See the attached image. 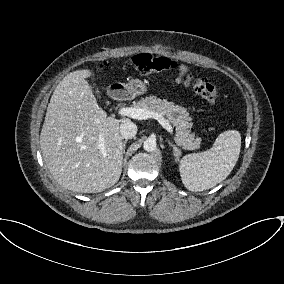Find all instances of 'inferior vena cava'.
Wrapping results in <instances>:
<instances>
[{
	"mask_svg": "<svg viewBox=\"0 0 284 284\" xmlns=\"http://www.w3.org/2000/svg\"><path fill=\"white\" fill-rule=\"evenodd\" d=\"M119 131L123 139H131L137 133V126L131 121H123Z\"/></svg>",
	"mask_w": 284,
	"mask_h": 284,
	"instance_id": "1",
	"label": "inferior vena cava"
}]
</instances>
